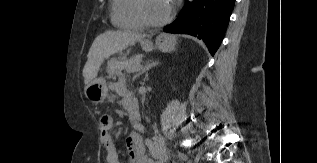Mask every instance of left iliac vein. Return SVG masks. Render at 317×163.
I'll return each instance as SVG.
<instances>
[{"mask_svg": "<svg viewBox=\"0 0 317 163\" xmlns=\"http://www.w3.org/2000/svg\"><path fill=\"white\" fill-rule=\"evenodd\" d=\"M165 159H166V156H165V155H162V156H161V160L165 161Z\"/></svg>", "mask_w": 317, "mask_h": 163, "instance_id": "obj_1", "label": "left iliac vein"}]
</instances>
